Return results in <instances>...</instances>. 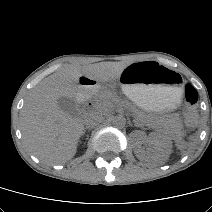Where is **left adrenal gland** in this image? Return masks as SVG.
I'll list each match as a JSON object with an SVG mask.
<instances>
[{
    "label": "left adrenal gland",
    "mask_w": 212,
    "mask_h": 212,
    "mask_svg": "<svg viewBox=\"0 0 212 212\" xmlns=\"http://www.w3.org/2000/svg\"><path fill=\"white\" fill-rule=\"evenodd\" d=\"M134 125H135L136 127H140V126H139V124H138V123H136V122H135V124H134Z\"/></svg>",
    "instance_id": "1"
}]
</instances>
